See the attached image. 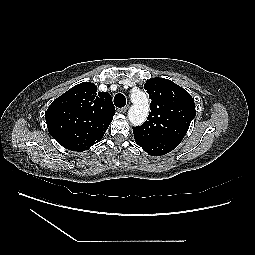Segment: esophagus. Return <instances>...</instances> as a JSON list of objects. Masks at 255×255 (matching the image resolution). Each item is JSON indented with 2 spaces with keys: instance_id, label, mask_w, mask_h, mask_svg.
<instances>
[{
  "instance_id": "obj_1",
  "label": "esophagus",
  "mask_w": 255,
  "mask_h": 255,
  "mask_svg": "<svg viewBox=\"0 0 255 255\" xmlns=\"http://www.w3.org/2000/svg\"><path fill=\"white\" fill-rule=\"evenodd\" d=\"M129 106H125V107H122V108H118V112L121 113V114H124L127 110H128Z\"/></svg>"
}]
</instances>
